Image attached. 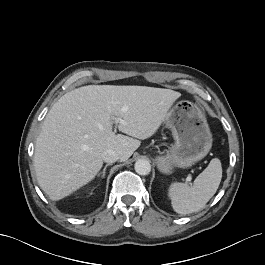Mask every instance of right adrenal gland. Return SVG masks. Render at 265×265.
I'll return each instance as SVG.
<instances>
[{"mask_svg": "<svg viewBox=\"0 0 265 265\" xmlns=\"http://www.w3.org/2000/svg\"><path fill=\"white\" fill-rule=\"evenodd\" d=\"M109 165H111V164H109V163L106 164V165L104 166L102 172H100L97 176H98V177L101 176V178L103 179V178L105 177L106 169H107V167H108Z\"/></svg>", "mask_w": 265, "mask_h": 265, "instance_id": "1", "label": "right adrenal gland"}]
</instances>
